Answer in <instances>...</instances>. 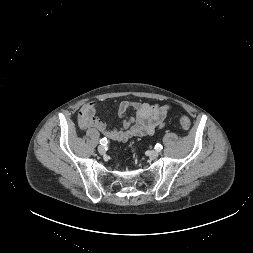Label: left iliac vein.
<instances>
[{
  "instance_id": "obj_1",
  "label": "left iliac vein",
  "mask_w": 253,
  "mask_h": 253,
  "mask_svg": "<svg viewBox=\"0 0 253 253\" xmlns=\"http://www.w3.org/2000/svg\"><path fill=\"white\" fill-rule=\"evenodd\" d=\"M148 156L151 159H156L159 156V151H157V150L150 151L149 154H148Z\"/></svg>"
}]
</instances>
